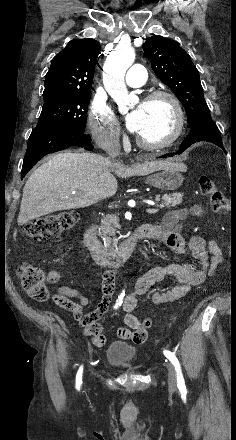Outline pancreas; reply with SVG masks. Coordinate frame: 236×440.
Returning <instances> with one entry per match:
<instances>
[{"label": "pancreas", "mask_w": 236, "mask_h": 440, "mask_svg": "<svg viewBox=\"0 0 236 440\" xmlns=\"http://www.w3.org/2000/svg\"><path fill=\"white\" fill-rule=\"evenodd\" d=\"M183 194L182 193H173V194H165L162 197V206L166 208L175 207L182 203ZM156 201H160V196L157 195L155 197ZM118 217L116 215H106L102 220V224L99 227L101 234L104 236L105 246L111 249L115 247L118 243V239H111L110 236H115L116 229H120V225L118 223Z\"/></svg>", "instance_id": "cf45deb5"}]
</instances>
